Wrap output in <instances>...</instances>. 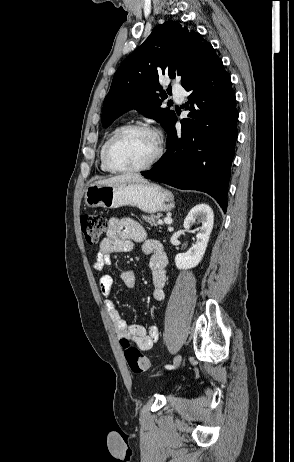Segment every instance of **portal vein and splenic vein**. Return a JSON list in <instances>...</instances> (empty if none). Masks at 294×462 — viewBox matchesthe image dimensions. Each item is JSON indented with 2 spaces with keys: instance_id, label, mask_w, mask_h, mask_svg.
<instances>
[{
  "instance_id": "18ae733b",
  "label": "portal vein and splenic vein",
  "mask_w": 294,
  "mask_h": 462,
  "mask_svg": "<svg viewBox=\"0 0 294 462\" xmlns=\"http://www.w3.org/2000/svg\"><path fill=\"white\" fill-rule=\"evenodd\" d=\"M164 222L167 224V225H171L173 220L170 218V217H167L164 219ZM159 223H163V221H159Z\"/></svg>"
}]
</instances>
